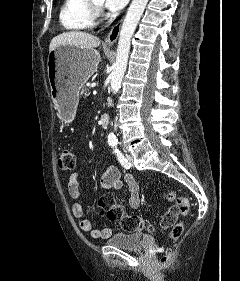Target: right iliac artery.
I'll use <instances>...</instances> for the list:
<instances>
[{
	"label": "right iliac artery",
	"mask_w": 240,
	"mask_h": 281,
	"mask_svg": "<svg viewBox=\"0 0 240 281\" xmlns=\"http://www.w3.org/2000/svg\"><path fill=\"white\" fill-rule=\"evenodd\" d=\"M116 144H117V143H110V145L113 146V147L116 146Z\"/></svg>",
	"instance_id": "1"
}]
</instances>
